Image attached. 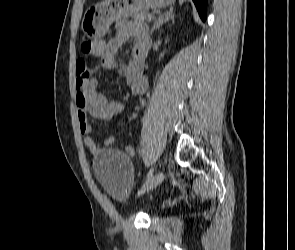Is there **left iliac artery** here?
<instances>
[{
    "mask_svg": "<svg viewBox=\"0 0 295 250\" xmlns=\"http://www.w3.org/2000/svg\"><path fill=\"white\" fill-rule=\"evenodd\" d=\"M153 173H154V168H151L149 172L147 173L146 180L143 183L141 189L138 191V194H141L144 191V189L149 185V183L151 182L153 178Z\"/></svg>",
    "mask_w": 295,
    "mask_h": 250,
    "instance_id": "1",
    "label": "left iliac artery"
}]
</instances>
